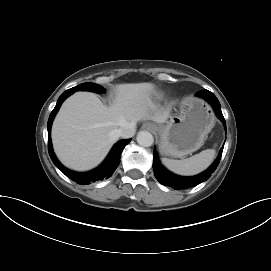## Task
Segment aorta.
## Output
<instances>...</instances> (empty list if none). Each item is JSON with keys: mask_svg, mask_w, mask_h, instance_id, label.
<instances>
[{"mask_svg": "<svg viewBox=\"0 0 271 271\" xmlns=\"http://www.w3.org/2000/svg\"><path fill=\"white\" fill-rule=\"evenodd\" d=\"M137 143L143 147H150L154 143L153 135L148 131H140L137 134Z\"/></svg>", "mask_w": 271, "mask_h": 271, "instance_id": "1", "label": "aorta"}]
</instances>
